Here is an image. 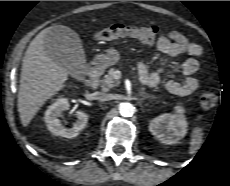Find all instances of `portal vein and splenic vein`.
<instances>
[{"label": "portal vein and splenic vein", "instance_id": "obj_1", "mask_svg": "<svg viewBox=\"0 0 230 186\" xmlns=\"http://www.w3.org/2000/svg\"><path fill=\"white\" fill-rule=\"evenodd\" d=\"M120 76H121V75H120V72H115V78H116V79H119Z\"/></svg>", "mask_w": 230, "mask_h": 186}]
</instances>
